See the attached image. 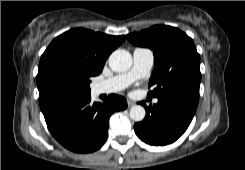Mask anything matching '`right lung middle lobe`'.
Listing matches in <instances>:
<instances>
[{"label": "right lung middle lobe", "mask_w": 245, "mask_h": 170, "mask_svg": "<svg viewBox=\"0 0 245 170\" xmlns=\"http://www.w3.org/2000/svg\"><path fill=\"white\" fill-rule=\"evenodd\" d=\"M89 84V77L55 70L46 76L44 90L53 104L62 105L90 95Z\"/></svg>", "instance_id": "right-lung-middle-lobe-1"}]
</instances>
